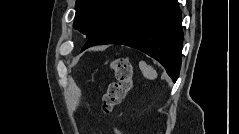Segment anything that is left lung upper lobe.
Returning a JSON list of instances; mask_svg holds the SVG:
<instances>
[{
  "label": "left lung upper lobe",
  "instance_id": "1",
  "mask_svg": "<svg viewBox=\"0 0 239 134\" xmlns=\"http://www.w3.org/2000/svg\"><path fill=\"white\" fill-rule=\"evenodd\" d=\"M123 0H77L73 27L90 38L110 20Z\"/></svg>",
  "mask_w": 239,
  "mask_h": 134
}]
</instances>
